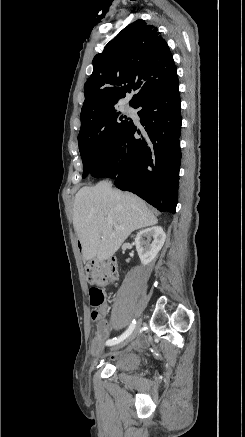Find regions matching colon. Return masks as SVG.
<instances>
[{
  "mask_svg": "<svg viewBox=\"0 0 245 437\" xmlns=\"http://www.w3.org/2000/svg\"><path fill=\"white\" fill-rule=\"evenodd\" d=\"M87 281L91 285L89 289L90 304L96 308L92 311L91 317L96 321L100 317L101 307L105 301V293L103 288L107 285L114 284L117 281V262L114 259H109L101 262H89L85 266Z\"/></svg>",
  "mask_w": 245,
  "mask_h": 437,
  "instance_id": "obj_1",
  "label": "colon"
}]
</instances>
